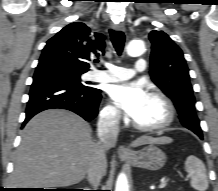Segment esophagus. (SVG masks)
<instances>
[{
    "label": "esophagus",
    "mask_w": 218,
    "mask_h": 191,
    "mask_svg": "<svg viewBox=\"0 0 218 191\" xmlns=\"http://www.w3.org/2000/svg\"><path fill=\"white\" fill-rule=\"evenodd\" d=\"M116 30H119V31H125V26L123 23H118V24H115L113 26ZM118 154L119 156H128V155H131V151L128 147L124 146V145H121L119 148H118Z\"/></svg>",
    "instance_id": "1"
}]
</instances>
